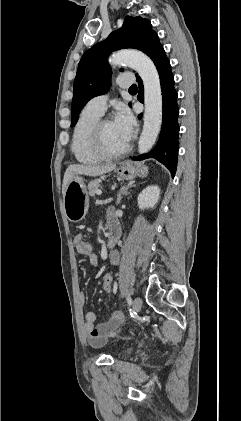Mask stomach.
Segmentation results:
<instances>
[{"label":"stomach","instance_id":"obj_1","mask_svg":"<svg viewBox=\"0 0 241 421\" xmlns=\"http://www.w3.org/2000/svg\"><path fill=\"white\" fill-rule=\"evenodd\" d=\"M117 174L125 180H133L135 177H145L148 168L142 164L121 163L117 168ZM66 217L71 222H80L85 218L89 208V198L82 177L76 175L67 185L63 198Z\"/></svg>","mask_w":241,"mask_h":421}]
</instances>
